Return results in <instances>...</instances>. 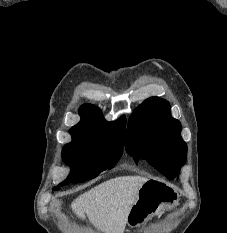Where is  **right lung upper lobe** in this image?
<instances>
[{
    "label": "right lung upper lobe",
    "mask_w": 227,
    "mask_h": 233,
    "mask_svg": "<svg viewBox=\"0 0 227 233\" xmlns=\"http://www.w3.org/2000/svg\"><path fill=\"white\" fill-rule=\"evenodd\" d=\"M81 121L70 129L73 141L91 144L109 138L120 139L124 145L126 118L122 116L116 122H107L101 110L92 104H83L79 108Z\"/></svg>",
    "instance_id": "1"
}]
</instances>
